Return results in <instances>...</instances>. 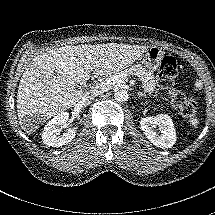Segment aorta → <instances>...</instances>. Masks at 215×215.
Here are the masks:
<instances>
[{"instance_id": "obj_1", "label": "aorta", "mask_w": 215, "mask_h": 215, "mask_svg": "<svg viewBox=\"0 0 215 215\" xmlns=\"http://www.w3.org/2000/svg\"><path fill=\"white\" fill-rule=\"evenodd\" d=\"M114 99L119 103L125 102L129 99V94L127 90H124V89L118 90L114 94Z\"/></svg>"}]
</instances>
